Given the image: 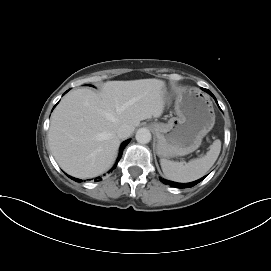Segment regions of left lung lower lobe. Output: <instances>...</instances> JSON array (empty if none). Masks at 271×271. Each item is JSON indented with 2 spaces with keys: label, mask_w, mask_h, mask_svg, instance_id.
Masks as SVG:
<instances>
[{
  "label": "left lung lower lobe",
  "mask_w": 271,
  "mask_h": 271,
  "mask_svg": "<svg viewBox=\"0 0 271 271\" xmlns=\"http://www.w3.org/2000/svg\"><path fill=\"white\" fill-rule=\"evenodd\" d=\"M205 91H207L209 94H211L212 96H213V94L209 91V90H207V89H204ZM215 98V97H214ZM216 100V99H215ZM205 178V176L204 177H202V178H200L199 180H197V181H194V182H191V183H187V184H183V183H176V182H172V181H167V180H162L161 178H160V180L164 183V184H169L170 186H173V187H177V188H187V187H191V186H194V185H196L197 183H199L201 180H203Z\"/></svg>",
  "instance_id": "0a47b994"
}]
</instances>
